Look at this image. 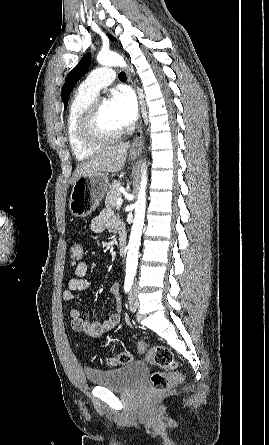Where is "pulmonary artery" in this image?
<instances>
[{
  "label": "pulmonary artery",
  "mask_w": 269,
  "mask_h": 445,
  "mask_svg": "<svg viewBox=\"0 0 269 445\" xmlns=\"http://www.w3.org/2000/svg\"><path fill=\"white\" fill-rule=\"evenodd\" d=\"M114 80L115 72L113 69L99 67L88 75L80 89L89 95L96 96L102 88L110 85Z\"/></svg>",
  "instance_id": "1"
}]
</instances>
